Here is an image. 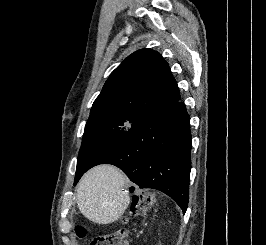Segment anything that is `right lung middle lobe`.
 Returning <instances> with one entry per match:
<instances>
[{
    "mask_svg": "<svg viewBox=\"0 0 266 245\" xmlns=\"http://www.w3.org/2000/svg\"><path fill=\"white\" fill-rule=\"evenodd\" d=\"M141 118L121 113L90 116L84 130L75 179L104 151L117 143Z\"/></svg>",
    "mask_w": 266,
    "mask_h": 245,
    "instance_id": "obj_1",
    "label": "right lung middle lobe"
}]
</instances>
